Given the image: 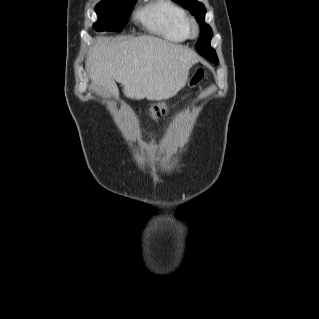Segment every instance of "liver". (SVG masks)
Returning a JSON list of instances; mask_svg holds the SVG:
<instances>
[{
  "label": "liver",
  "instance_id": "6515ba94",
  "mask_svg": "<svg viewBox=\"0 0 319 319\" xmlns=\"http://www.w3.org/2000/svg\"><path fill=\"white\" fill-rule=\"evenodd\" d=\"M198 55L155 36L130 39L97 37L86 66L94 87L118 98L115 83L131 99L166 100L182 89Z\"/></svg>",
  "mask_w": 319,
  "mask_h": 319
}]
</instances>
